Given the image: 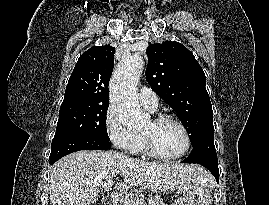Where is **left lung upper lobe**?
I'll use <instances>...</instances> for the list:
<instances>
[{
	"instance_id": "obj_1",
	"label": "left lung upper lobe",
	"mask_w": 269,
	"mask_h": 205,
	"mask_svg": "<svg viewBox=\"0 0 269 205\" xmlns=\"http://www.w3.org/2000/svg\"><path fill=\"white\" fill-rule=\"evenodd\" d=\"M146 52V80L177 113L192 144L214 133L206 77L194 55L176 41L152 44Z\"/></svg>"
}]
</instances>
